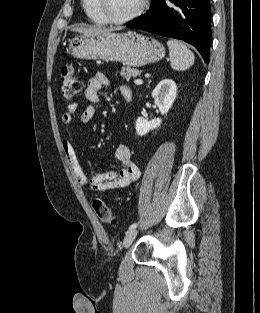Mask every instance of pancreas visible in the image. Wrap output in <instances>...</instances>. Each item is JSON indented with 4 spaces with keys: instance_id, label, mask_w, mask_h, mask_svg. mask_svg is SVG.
<instances>
[{
    "instance_id": "1",
    "label": "pancreas",
    "mask_w": 260,
    "mask_h": 313,
    "mask_svg": "<svg viewBox=\"0 0 260 313\" xmlns=\"http://www.w3.org/2000/svg\"><path fill=\"white\" fill-rule=\"evenodd\" d=\"M141 74V71L138 69H133L130 67H123L121 69L120 75L125 79L129 80L131 77L135 78Z\"/></svg>"
}]
</instances>
